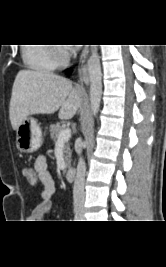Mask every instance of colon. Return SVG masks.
I'll list each match as a JSON object with an SVG mask.
<instances>
[{
    "label": "colon",
    "instance_id": "obj_1",
    "mask_svg": "<svg viewBox=\"0 0 166 267\" xmlns=\"http://www.w3.org/2000/svg\"><path fill=\"white\" fill-rule=\"evenodd\" d=\"M23 178H25V182H31V185H38V177H36V171L34 169H23Z\"/></svg>",
    "mask_w": 166,
    "mask_h": 267
}]
</instances>
